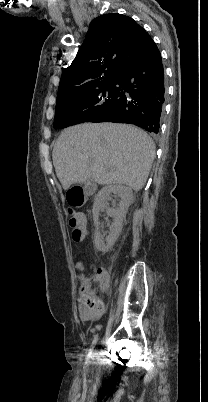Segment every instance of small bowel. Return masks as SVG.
I'll return each mask as SVG.
<instances>
[{
  "label": "small bowel",
  "mask_w": 208,
  "mask_h": 402,
  "mask_svg": "<svg viewBox=\"0 0 208 402\" xmlns=\"http://www.w3.org/2000/svg\"><path fill=\"white\" fill-rule=\"evenodd\" d=\"M84 226H85V223H84ZM79 267L81 268L82 266L79 265ZM109 274H110L109 271L106 269L105 270L104 269L97 270V271L92 272L93 276L103 277L102 279L99 280L100 286L103 289L110 288V283L108 282ZM80 280H91V279L81 276ZM99 322H100V317L98 315H93V316L86 315V316H84L83 322L81 323V328L83 330H92L94 327V324H98ZM107 327H108V329L113 330V329H115L116 324H115V322L110 321V322H108Z\"/></svg>",
  "instance_id": "1"
}]
</instances>
